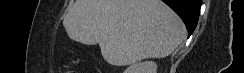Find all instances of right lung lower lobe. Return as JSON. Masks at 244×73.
<instances>
[{
	"label": "right lung lower lobe",
	"instance_id": "obj_1",
	"mask_svg": "<svg viewBox=\"0 0 244 73\" xmlns=\"http://www.w3.org/2000/svg\"><path fill=\"white\" fill-rule=\"evenodd\" d=\"M183 20L188 30V37L195 30L200 13L201 0H162Z\"/></svg>",
	"mask_w": 244,
	"mask_h": 73
}]
</instances>
